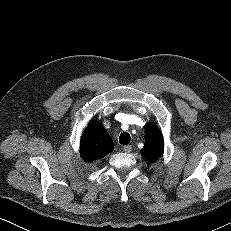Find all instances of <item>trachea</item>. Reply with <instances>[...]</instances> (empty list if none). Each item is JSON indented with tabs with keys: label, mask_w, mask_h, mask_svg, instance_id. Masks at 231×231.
Wrapping results in <instances>:
<instances>
[{
	"label": "trachea",
	"mask_w": 231,
	"mask_h": 231,
	"mask_svg": "<svg viewBox=\"0 0 231 231\" xmlns=\"http://www.w3.org/2000/svg\"><path fill=\"white\" fill-rule=\"evenodd\" d=\"M130 134L129 133H122L120 136H119V142L120 144H123V145H127L130 143Z\"/></svg>",
	"instance_id": "3493384b"
}]
</instances>
